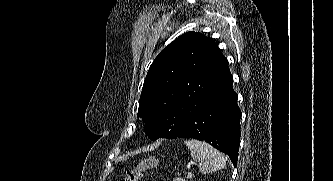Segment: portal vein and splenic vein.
<instances>
[{
	"mask_svg": "<svg viewBox=\"0 0 333 181\" xmlns=\"http://www.w3.org/2000/svg\"><path fill=\"white\" fill-rule=\"evenodd\" d=\"M192 176H193V174H192L191 172H189V173L187 174V179L192 178Z\"/></svg>",
	"mask_w": 333,
	"mask_h": 181,
	"instance_id": "obj_1",
	"label": "portal vein and splenic vein"
}]
</instances>
